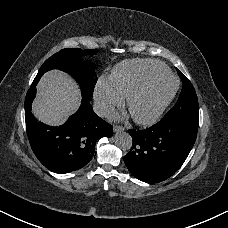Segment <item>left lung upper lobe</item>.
Returning <instances> with one entry per match:
<instances>
[{
	"instance_id": "obj_1",
	"label": "left lung upper lobe",
	"mask_w": 228,
	"mask_h": 228,
	"mask_svg": "<svg viewBox=\"0 0 228 228\" xmlns=\"http://www.w3.org/2000/svg\"><path fill=\"white\" fill-rule=\"evenodd\" d=\"M182 82L183 88L175 106L165 114L159 121L164 125L192 124L198 126V100L191 82L176 68Z\"/></svg>"
}]
</instances>
